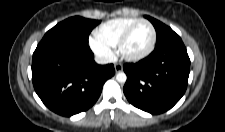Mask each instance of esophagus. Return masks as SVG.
Segmentation results:
<instances>
[{
    "instance_id": "obj_1",
    "label": "esophagus",
    "mask_w": 225,
    "mask_h": 132,
    "mask_svg": "<svg viewBox=\"0 0 225 132\" xmlns=\"http://www.w3.org/2000/svg\"><path fill=\"white\" fill-rule=\"evenodd\" d=\"M114 68H115V71H116V72H120V71H122L123 66H122L120 63H116V64L114 65Z\"/></svg>"
}]
</instances>
